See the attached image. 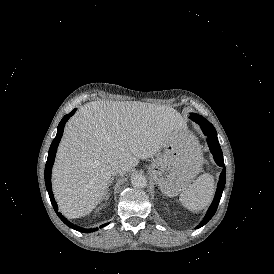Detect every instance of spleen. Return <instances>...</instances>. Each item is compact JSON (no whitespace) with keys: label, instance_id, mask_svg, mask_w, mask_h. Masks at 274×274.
Here are the masks:
<instances>
[{"label":"spleen","instance_id":"1","mask_svg":"<svg viewBox=\"0 0 274 274\" xmlns=\"http://www.w3.org/2000/svg\"><path fill=\"white\" fill-rule=\"evenodd\" d=\"M193 146L196 150L199 163H203L201 147L196 139ZM215 193L214 177L209 173L200 175L192 185L180 194V201L184 207L191 211H198L206 208L213 199Z\"/></svg>","mask_w":274,"mask_h":274}]
</instances>
